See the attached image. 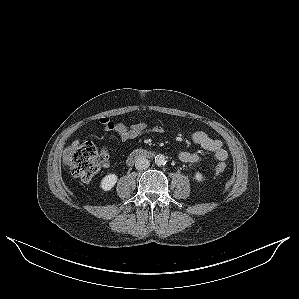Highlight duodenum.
Wrapping results in <instances>:
<instances>
[{"instance_id":"duodenum-1","label":"duodenum","mask_w":299,"mask_h":299,"mask_svg":"<svg viewBox=\"0 0 299 299\" xmlns=\"http://www.w3.org/2000/svg\"><path fill=\"white\" fill-rule=\"evenodd\" d=\"M153 155H154L153 152L148 150H144V149L135 150L129 155L127 159V164L129 166H132L136 161L142 158L152 157Z\"/></svg>"}]
</instances>
